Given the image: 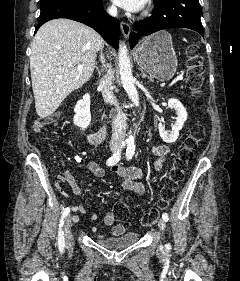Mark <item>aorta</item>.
<instances>
[{"mask_svg":"<svg viewBox=\"0 0 240 281\" xmlns=\"http://www.w3.org/2000/svg\"><path fill=\"white\" fill-rule=\"evenodd\" d=\"M119 73L121 77V83L127 92L129 98L132 102L138 106L139 105V95L134 84V78L131 71V64L128 55V49L124 42L120 44L119 47ZM129 141H133V136H129Z\"/></svg>","mask_w":240,"mask_h":281,"instance_id":"aorta-1","label":"aorta"}]
</instances>
